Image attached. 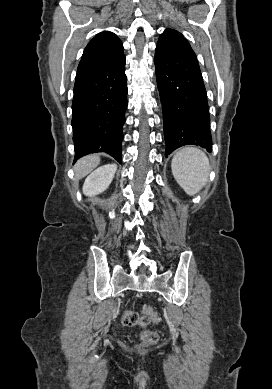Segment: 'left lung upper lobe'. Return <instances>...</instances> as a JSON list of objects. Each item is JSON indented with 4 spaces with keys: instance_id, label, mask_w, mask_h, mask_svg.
Segmentation results:
<instances>
[{
    "instance_id": "5c2ea615",
    "label": "left lung upper lobe",
    "mask_w": 272,
    "mask_h": 389,
    "mask_svg": "<svg viewBox=\"0 0 272 389\" xmlns=\"http://www.w3.org/2000/svg\"><path fill=\"white\" fill-rule=\"evenodd\" d=\"M170 54L197 59L187 39L174 29H166L160 36L157 47Z\"/></svg>"
}]
</instances>
